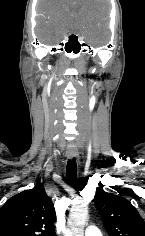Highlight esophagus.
<instances>
[{
  "label": "esophagus",
  "mask_w": 145,
  "mask_h": 236,
  "mask_svg": "<svg viewBox=\"0 0 145 236\" xmlns=\"http://www.w3.org/2000/svg\"><path fill=\"white\" fill-rule=\"evenodd\" d=\"M66 155L69 159H72L77 156V151L74 146H71L67 149Z\"/></svg>",
  "instance_id": "esophagus-1"
}]
</instances>
